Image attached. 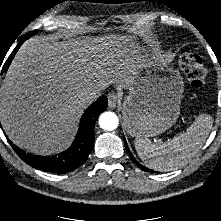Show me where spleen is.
I'll list each match as a JSON object with an SVG mask.
<instances>
[{
  "label": "spleen",
  "mask_w": 221,
  "mask_h": 221,
  "mask_svg": "<svg viewBox=\"0 0 221 221\" xmlns=\"http://www.w3.org/2000/svg\"><path fill=\"white\" fill-rule=\"evenodd\" d=\"M211 115L200 114L186 132L174 136L165 143H152L136 137L134 144L138 156L144 164L155 171L166 172L183 165L198 152L210 129Z\"/></svg>",
  "instance_id": "spleen-1"
}]
</instances>
